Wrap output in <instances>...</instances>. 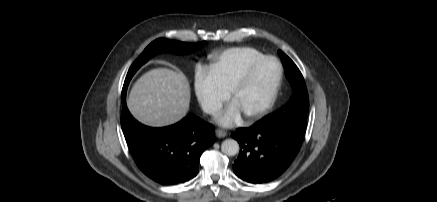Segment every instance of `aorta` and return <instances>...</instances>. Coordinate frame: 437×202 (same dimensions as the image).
Returning <instances> with one entry per match:
<instances>
[{
    "label": "aorta",
    "mask_w": 437,
    "mask_h": 202,
    "mask_svg": "<svg viewBox=\"0 0 437 202\" xmlns=\"http://www.w3.org/2000/svg\"><path fill=\"white\" fill-rule=\"evenodd\" d=\"M221 150L226 155L234 156L239 152V144L234 139H226L221 144Z\"/></svg>",
    "instance_id": "aorta-1"
}]
</instances>
